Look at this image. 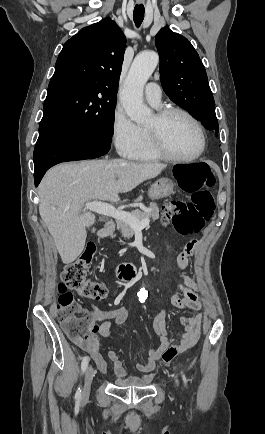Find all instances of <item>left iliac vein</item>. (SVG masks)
<instances>
[{"mask_svg":"<svg viewBox=\"0 0 265 434\" xmlns=\"http://www.w3.org/2000/svg\"><path fill=\"white\" fill-rule=\"evenodd\" d=\"M174 381H175L176 386L179 387V382H178L176 377L174 378Z\"/></svg>","mask_w":265,"mask_h":434,"instance_id":"1","label":"left iliac vein"}]
</instances>
